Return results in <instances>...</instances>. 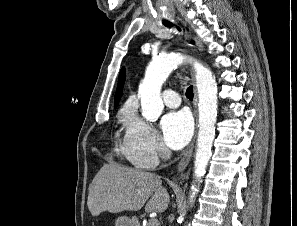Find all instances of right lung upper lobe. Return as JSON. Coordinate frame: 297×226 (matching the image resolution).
<instances>
[{
  "label": "right lung upper lobe",
  "instance_id": "right-lung-upper-lobe-1",
  "mask_svg": "<svg viewBox=\"0 0 297 226\" xmlns=\"http://www.w3.org/2000/svg\"><path fill=\"white\" fill-rule=\"evenodd\" d=\"M124 81H125V69L122 68V70L119 73L118 86L115 94V100H114L115 107L118 105L119 100L121 98Z\"/></svg>",
  "mask_w": 297,
  "mask_h": 226
}]
</instances>
